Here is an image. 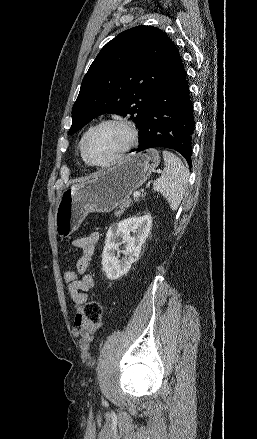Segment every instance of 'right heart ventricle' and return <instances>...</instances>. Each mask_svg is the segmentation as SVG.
Masks as SVG:
<instances>
[{
	"label": "right heart ventricle",
	"mask_w": 257,
	"mask_h": 439,
	"mask_svg": "<svg viewBox=\"0 0 257 439\" xmlns=\"http://www.w3.org/2000/svg\"><path fill=\"white\" fill-rule=\"evenodd\" d=\"M88 131H89V130L85 131V132L82 134V136H81V138H80V140H79V144H78V148H79V151H80V155H81V157H82L83 160H84V158H83V156H82V145H83L84 138H85V136H86V134H87ZM84 161H85V160H84Z\"/></svg>",
	"instance_id": "obj_1"
}]
</instances>
